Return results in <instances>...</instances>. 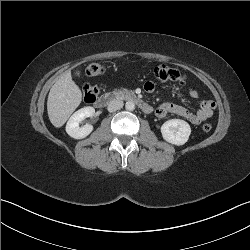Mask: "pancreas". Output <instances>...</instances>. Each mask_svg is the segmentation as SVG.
Returning <instances> with one entry per match:
<instances>
[{
    "label": "pancreas",
    "instance_id": "obj_1",
    "mask_svg": "<svg viewBox=\"0 0 250 250\" xmlns=\"http://www.w3.org/2000/svg\"><path fill=\"white\" fill-rule=\"evenodd\" d=\"M125 92H126L125 89H124V90H115V91H114V94L117 95V96H120V95H122V94L125 93Z\"/></svg>",
    "mask_w": 250,
    "mask_h": 250
}]
</instances>
